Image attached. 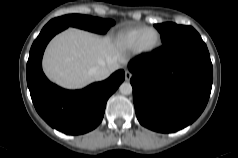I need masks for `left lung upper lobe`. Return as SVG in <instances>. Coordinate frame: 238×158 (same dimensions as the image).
<instances>
[{
	"mask_svg": "<svg viewBox=\"0 0 238 158\" xmlns=\"http://www.w3.org/2000/svg\"><path fill=\"white\" fill-rule=\"evenodd\" d=\"M155 27L161 34L163 44L168 43L176 37L195 31L191 26L177 25L171 22L156 24Z\"/></svg>",
	"mask_w": 238,
	"mask_h": 158,
	"instance_id": "1",
	"label": "left lung upper lobe"
}]
</instances>
